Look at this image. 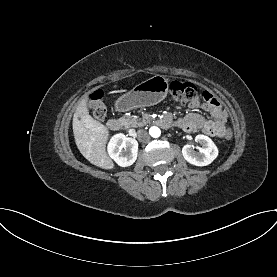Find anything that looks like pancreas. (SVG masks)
I'll use <instances>...</instances> for the list:
<instances>
[{"mask_svg": "<svg viewBox=\"0 0 277 277\" xmlns=\"http://www.w3.org/2000/svg\"><path fill=\"white\" fill-rule=\"evenodd\" d=\"M123 120L125 121L126 125L128 127H134V128H137V127H141L144 125L143 122H141V119L138 118L137 116H125L123 117Z\"/></svg>", "mask_w": 277, "mask_h": 277, "instance_id": "1", "label": "pancreas"}]
</instances>
